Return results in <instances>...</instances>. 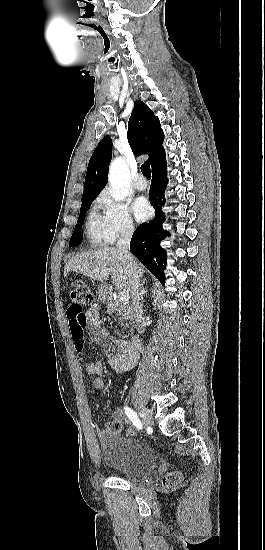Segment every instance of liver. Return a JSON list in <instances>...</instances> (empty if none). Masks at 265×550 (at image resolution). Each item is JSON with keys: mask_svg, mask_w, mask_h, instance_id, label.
I'll list each match as a JSON object with an SVG mask.
<instances>
[{"mask_svg": "<svg viewBox=\"0 0 265 550\" xmlns=\"http://www.w3.org/2000/svg\"><path fill=\"white\" fill-rule=\"evenodd\" d=\"M134 261L139 277H142L145 269L136 260ZM70 271L78 272L101 283L111 276L116 290L131 292V279L128 267L122 255L115 247H103L73 256L65 264L64 276Z\"/></svg>", "mask_w": 265, "mask_h": 550, "instance_id": "obj_1", "label": "liver"}]
</instances>
